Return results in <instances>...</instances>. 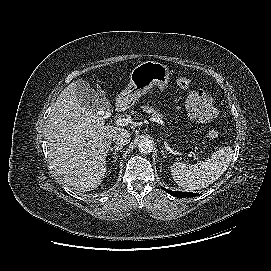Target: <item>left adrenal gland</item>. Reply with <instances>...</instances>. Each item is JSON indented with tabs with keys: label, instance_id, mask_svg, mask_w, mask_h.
Instances as JSON below:
<instances>
[{
	"label": "left adrenal gland",
	"instance_id": "left-adrenal-gland-1",
	"mask_svg": "<svg viewBox=\"0 0 271 271\" xmlns=\"http://www.w3.org/2000/svg\"><path fill=\"white\" fill-rule=\"evenodd\" d=\"M161 152H162L163 158H167L163 149L161 150Z\"/></svg>",
	"mask_w": 271,
	"mask_h": 271
}]
</instances>
